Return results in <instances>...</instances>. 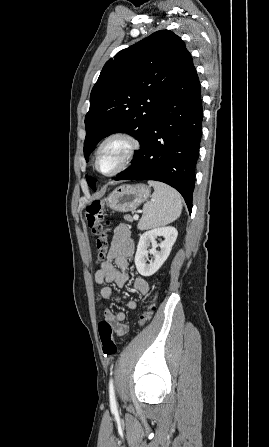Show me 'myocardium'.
<instances>
[{"instance_id": "1", "label": "myocardium", "mask_w": 269, "mask_h": 447, "mask_svg": "<svg viewBox=\"0 0 269 447\" xmlns=\"http://www.w3.org/2000/svg\"><path fill=\"white\" fill-rule=\"evenodd\" d=\"M115 139L126 140L129 143V149L127 151V154H126L124 160L122 161V163L119 166H117L116 168H114L111 171L102 172L98 167L100 153L106 144H108L110 141L115 140ZM140 147H141V142L136 135L129 133V132H121V131L112 133L109 136H107L99 145V147L96 151V156H95V167H96L97 171L103 175L110 176V175L116 174L130 166V164L136 157Z\"/></svg>"}]
</instances>
